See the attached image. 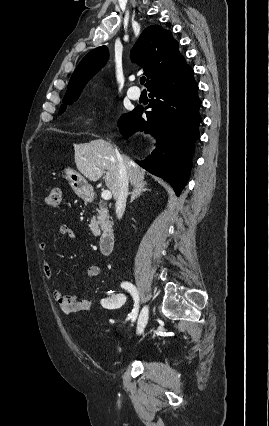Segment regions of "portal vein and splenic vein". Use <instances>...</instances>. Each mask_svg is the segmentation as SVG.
I'll list each match as a JSON object with an SVG mask.
<instances>
[{
    "instance_id": "18ae733b",
    "label": "portal vein and splenic vein",
    "mask_w": 269,
    "mask_h": 426,
    "mask_svg": "<svg viewBox=\"0 0 269 426\" xmlns=\"http://www.w3.org/2000/svg\"><path fill=\"white\" fill-rule=\"evenodd\" d=\"M101 197L104 200H110L112 198V194H111V192L109 190H104L101 193Z\"/></svg>"
}]
</instances>
